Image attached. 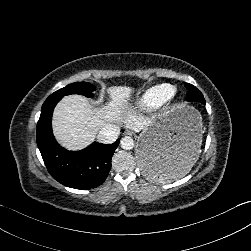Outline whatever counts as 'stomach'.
<instances>
[{
  "label": "stomach",
  "mask_w": 251,
  "mask_h": 251,
  "mask_svg": "<svg viewBox=\"0 0 251 251\" xmlns=\"http://www.w3.org/2000/svg\"><path fill=\"white\" fill-rule=\"evenodd\" d=\"M203 132L200 112L186 103L154 117L140 133L136 145V159L142 172L149 176V163L155 162L173 174L183 161H196Z\"/></svg>",
  "instance_id": "1"
}]
</instances>
